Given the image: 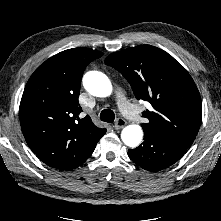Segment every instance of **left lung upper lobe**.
<instances>
[{
  "instance_id": "obj_1",
  "label": "left lung upper lobe",
  "mask_w": 221,
  "mask_h": 221,
  "mask_svg": "<svg viewBox=\"0 0 221 221\" xmlns=\"http://www.w3.org/2000/svg\"><path fill=\"white\" fill-rule=\"evenodd\" d=\"M105 63L117 69L130 83L135 97L153 109L143 112L148 119L144 133L188 148L202 119L198 89L185 68L167 52L140 45L110 54Z\"/></svg>"
}]
</instances>
